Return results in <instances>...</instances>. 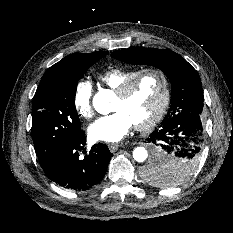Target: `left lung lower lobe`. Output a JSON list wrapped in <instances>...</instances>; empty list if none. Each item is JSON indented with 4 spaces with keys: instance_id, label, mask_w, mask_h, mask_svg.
<instances>
[{
    "instance_id": "1",
    "label": "left lung lower lobe",
    "mask_w": 233,
    "mask_h": 233,
    "mask_svg": "<svg viewBox=\"0 0 233 233\" xmlns=\"http://www.w3.org/2000/svg\"><path fill=\"white\" fill-rule=\"evenodd\" d=\"M147 140L155 146V153L149 164L163 165L171 158H199L204 140L202 124L194 116L175 117L162 122Z\"/></svg>"
}]
</instances>
